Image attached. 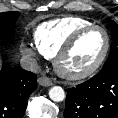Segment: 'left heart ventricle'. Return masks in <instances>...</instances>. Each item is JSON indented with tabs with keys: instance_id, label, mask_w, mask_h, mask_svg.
Instances as JSON below:
<instances>
[{
	"instance_id": "left-heart-ventricle-1",
	"label": "left heart ventricle",
	"mask_w": 118,
	"mask_h": 118,
	"mask_svg": "<svg viewBox=\"0 0 118 118\" xmlns=\"http://www.w3.org/2000/svg\"><path fill=\"white\" fill-rule=\"evenodd\" d=\"M105 48V36L100 30L84 34L70 53L64 58L63 67L78 72L91 67L102 55Z\"/></svg>"
}]
</instances>
